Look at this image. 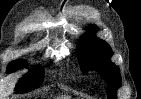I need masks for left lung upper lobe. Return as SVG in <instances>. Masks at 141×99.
<instances>
[{
	"mask_svg": "<svg viewBox=\"0 0 141 99\" xmlns=\"http://www.w3.org/2000/svg\"><path fill=\"white\" fill-rule=\"evenodd\" d=\"M90 31L82 36L79 43L78 55L82 72L95 70L101 74L108 84V98L115 99V91L121 85L120 70L110 61L113 55L110 46L93 34L97 27L91 26Z\"/></svg>",
	"mask_w": 141,
	"mask_h": 99,
	"instance_id": "5c2ea615",
	"label": "left lung upper lobe"
}]
</instances>
